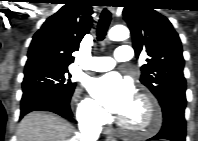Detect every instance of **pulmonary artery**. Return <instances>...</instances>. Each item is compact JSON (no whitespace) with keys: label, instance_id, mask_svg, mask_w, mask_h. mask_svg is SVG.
I'll use <instances>...</instances> for the list:
<instances>
[{"label":"pulmonary artery","instance_id":"pulmonary-artery-1","mask_svg":"<svg viewBox=\"0 0 198 141\" xmlns=\"http://www.w3.org/2000/svg\"><path fill=\"white\" fill-rule=\"evenodd\" d=\"M132 56V49L129 46H119L113 57H92L87 69L98 72L107 71L115 66V60L126 62L130 61Z\"/></svg>","mask_w":198,"mask_h":141}]
</instances>
